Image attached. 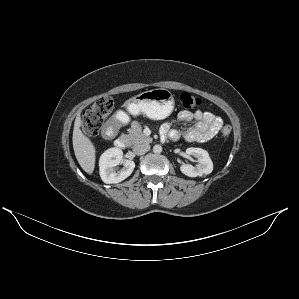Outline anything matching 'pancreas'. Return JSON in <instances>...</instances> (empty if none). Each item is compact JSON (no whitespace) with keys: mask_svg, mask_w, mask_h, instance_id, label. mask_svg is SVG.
Listing matches in <instances>:
<instances>
[{"mask_svg":"<svg viewBox=\"0 0 299 299\" xmlns=\"http://www.w3.org/2000/svg\"><path fill=\"white\" fill-rule=\"evenodd\" d=\"M126 137L128 142L134 146L152 142V138L144 135L141 126L136 123L132 124V127L129 129V134L126 135Z\"/></svg>","mask_w":299,"mask_h":299,"instance_id":"pancreas-1","label":"pancreas"}]
</instances>
